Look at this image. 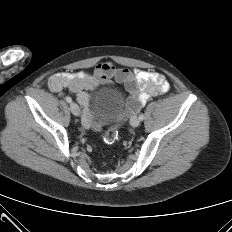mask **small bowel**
<instances>
[{"label": "small bowel", "instance_id": "small-bowel-1", "mask_svg": "<svg viewBox=\"0 0 232 232\" xmlns=\"http://www.w3.org/2000/svg\"><path fill=\"white\" fill-rule=\"evenodd\" d=\"M114 82L123 83L130 94L125 115H134L152 97L165 94L169 82L164 75L147 70H128L117 67L112 62L98 64L93 72H62L53 75L48 82L52 91L69 90L77 100L86 105L88 92L94 93L100 85L112 86ZM87 127L98 129L93 111L83 118Z\"/></svg>", "mask_w": 232, "mask_h": 232}]
</instances>
